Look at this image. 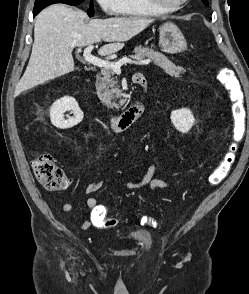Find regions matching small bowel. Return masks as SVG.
<instances>
[{
    "label": "small bowel",
    "instance_id": "obj_1",
    "mask_svg": "<svg viewBox=\"0 0 249 294\" xmlns=\"http://www.w3.org/2000/svg\"><path fill=\"white\" fill-rule=\"evenodd\" d=\"M157 164L152 163L146 170L145 174L138 181L126 182L124 188L127 190H138L144 187H150L152 190H162L171 187L170 183L165 180L155 178V172ZM101 182H92L84 188V192L87 195L96 193L102 188ZM86 207L90 210L89 219H83L78 215H74V218L80 223V227L83 230H87L90 227L96 228H108L115 224L116 220L108 217L105 207L97 202L93 197H90L85 202ZM63 212L72 213L74 207L71 203H64L61 205Z\"/></svg>",
    "mask_w": 249,
    "mask_h": 294
}]
</instances>
